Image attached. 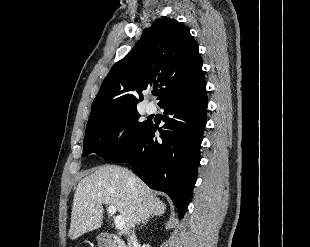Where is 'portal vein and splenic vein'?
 Instances as JSON below:
<instances>
[{"mask_svg":"<svg viewBox=\"0 0 310 247\" xmlns=\"http://www.w3.org/2000/svg\"><path fill=\"white\" fill-rule=\"evenodd\" d=\"M116 211H117V209H116V207H115L114 205H110V206L108 207V212H109V214H110L111 216H114V223H115L116 228L119 229V230H123L124 227H125L123 218H122V216H120V215H116V216H115Z\"/></svg>","mask_w":310,"mask_h":247,"instance_id":"1","label":"portal vein and splenic vein"}]
</instances>
